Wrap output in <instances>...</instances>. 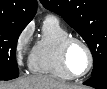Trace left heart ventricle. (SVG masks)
<instances>
[{
    "mask_svg": "<svg viewBox=\"0 0 107 89\" xmlns=\"http://www.w3.org/2000/svg\"><path fill=\"white\" fill-rule=\"evenodd\" d=\"M69 68L74 74H82L88 66V55L82 45L74 43L68 54Z\"/></svg>",
    "mask_w": 107,
    "mask_h": 89,
    "instance_id": "1",
    "label": "left heart ventricle"
}]
</instances>
